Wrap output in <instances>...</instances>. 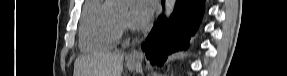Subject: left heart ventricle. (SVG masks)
Wrapping results in <instances>:
<instances>
[{
	"mask_svg": "<svg viewBox=\"0 0 287 76\" xmlns=\"http://www.w3.org/2000/svg\"><path fill=\"white\" fill-rule=\"evenodd\" d=\"M115 15L122 21L127 22L128 19V11L127 9H121L115 13Z\"/></svg>",
	"mask_w": 287,
	"mask_h": 76,
	"instance_id": "1",
	"label": "left heart ventricle"
}]
</instances>
